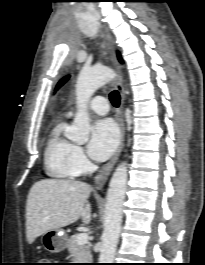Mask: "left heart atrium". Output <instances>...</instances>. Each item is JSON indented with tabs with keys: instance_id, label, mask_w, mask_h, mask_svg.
I'll return each instance as SVG.
<instances>
[{
	"instance_id": "left-heart-atrium-1",
	"label": "left heart atrium",
	"mask_w": 205,
	"mask_h": 265,
	"mask_svg": "<svg viewBox=\"0 0 205 265\" xmlns=\"http://www.w3.org/2000/svg\"><path fill=\"white\" fill-rule=\"evenodd\" d=\"M118 141L119 131L114 121L98 120L92 127L88 153L94 160L104 161L114 152Z\"/></svg>"
}]
</instances>
